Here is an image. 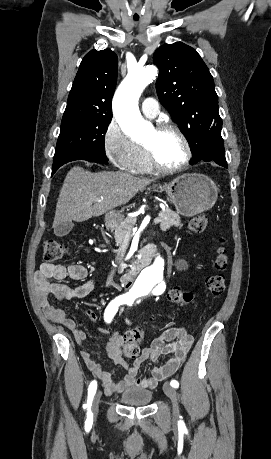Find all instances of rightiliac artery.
Returning a JSON list of instances; mask_svg holds the SVG:
<instances>
[{"label":"right iliac artery","mask_w":271,"mask_h":459,"mask_svg":"<svg viewBox=\"0 0 271 459\" xmlns=\"http://www.w3.org/2000/svg\"><path fill=\"white\" fill-rule=\"evenodd\" d=\"M126 303H132V302H130L129 300H127L124 297H118V298L112 300L108 304L107 308L105 309V313H104L105 322L110 323L112 321L114 315L118 311V307L120 305L126 304ZM96 389H97V381L94 380L89 385L87 404L84 405V408L88 409L86 422L90 423L91 425L93 423V415L91 413L90 408H91V405H92L93 397H94V395L96 393Z\"/></svg>","instance_id":"right-iliac-artery-1"}]
</instances>
